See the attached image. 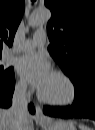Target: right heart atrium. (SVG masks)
Listing matches in <instances>:
<instances>
[{"mask_svg": "<svg viewBox=\"0 0 95 130\" xmlns=\"http://www.w3.org/2000/svg\"><path fill=\"white\" fill-rule=\"evenodd\" d=\"M15 92L22 96H26L30 93V89L25 80L20 78L16 81Z\"/></svg>", "mask_w": 95, "mask_h": 130, "instance_id": "right-heart-atrium-1", "label": "right heart atrium"}]
</instances>
